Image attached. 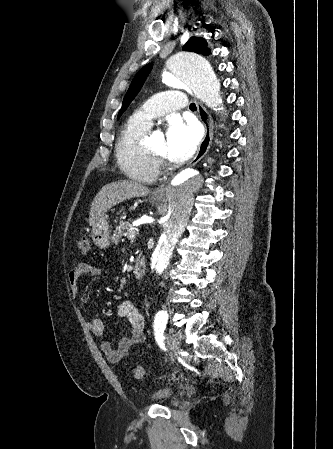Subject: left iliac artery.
<instances>
[{"label": "left iliac artery", "mask_w": 333, "mask_h": 449, "mask_svg": "<svg viewBox=\"0 0 333 449\" xmlns=\"http://www.w3.org/2000/svg\"><path fill=\"white\" fill-rule=\"evenodd\" d=\"M168 319V314L166 311H159L156 316H155V320H154V334H155V339L157 341V343L159 344V346L163 349H165L164 346V336H163V332L165 330L166 327V322Z\"/></svg>", "instance_id": "44dca946"}]
</instances>
